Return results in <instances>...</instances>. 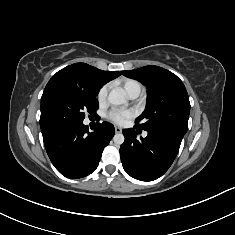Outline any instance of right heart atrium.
<instances>
[{"instance_id":"obj_1","label":"right heart atrium","mask_w":235,"mask_h":235,"mask_svg":"<svg viewBox=\"0 0 235 235\" xmlns=\"http://www.w3.org/2000/svg\"><path fill=\"white\" fill-rule=\"evenodd\" d=\"M108 91H109V85L106 84L104 86H102L98 93H97V100L99 103H102L105 101L106 97H107V94H108Z\"/></svg>"}]
</instances>
